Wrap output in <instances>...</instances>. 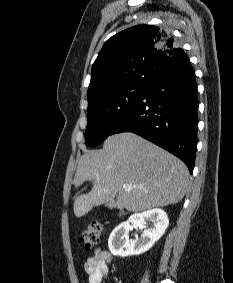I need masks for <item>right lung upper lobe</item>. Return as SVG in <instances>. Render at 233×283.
Returning a JSON list of instances; mask_svg holds the SVG:
<instances>
[{"label":"right lung upper lobe","mask_w":233,"mask_h":283,"mask_svg":"<svg viewBox=\"0 0 233 283\" xmlns=\"http://www.w3.org/2000/svg\"><path fill=\"white\" fill-rule=\"evenodd\" d=\"M187 57L180 44L154 25H137L109 38L92 66L88 105L129 85H149Z\"/></svg>","instance_id":"right-lung-upper-lobe-1"}]
</instances>
